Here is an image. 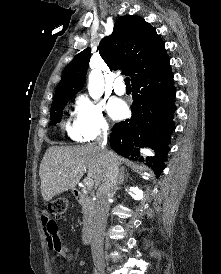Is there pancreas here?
<instances>
[{"instance_id":"pancreas-1","label":"pancreas","mask_w":221,"mask_h":274,"mask_svg":"<svg viewBox=\"0 0 221 274\" xmlns=\"http://www.w3.org/2000/svg\"><path fill=\"white\" fill-rule=\"evenodd\" d=\"M92 204H87V205H84L83 208H82V212L83 213H86L88 210H89V207L91 206Z\"/></svg>"}]
</instances>
